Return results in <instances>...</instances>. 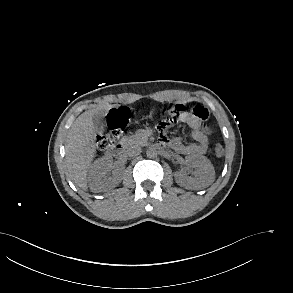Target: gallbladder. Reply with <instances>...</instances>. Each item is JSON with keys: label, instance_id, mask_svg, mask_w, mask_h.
I'll return each mask as SVG.
<instances>
[{"label": "gallbladder", "instance_id": "bac80fb5", "mask_svg": "<svg viewBox=\"0 0 293 293\" xmlns=\"http://www.w3.org/2000/svg\"><path fill=\"white\" fill-rule=\"evenodd\" d=\"M105 115H106V110L99 109L94 113L92 117V123H93L94 129L97 132H103L105 130Z\"/></svg>", "mask_w": 293, "mask_h": 293}]
</instances>
